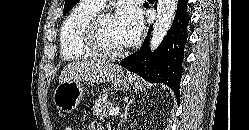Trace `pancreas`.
I'll use <instances>...</instances> for the list:
<instances>
[{
    "instance_id": "cf45deb5",
    "label": "pancreas",
    "mask_w": 249,
    "mask_h": 130,
    "mask_svg": "<svg viewBox=\"0 0 249 130\" xmlns=\"http://www.w3.org/2000/svg\"><path fill=\"white\" fill-rule=\"evenodd\" d=\"M105 95H100L93 106V114L100 120L108 118L109 111L113 108L112 104L104 100Z\"/></svg>"
}]
</instances>
